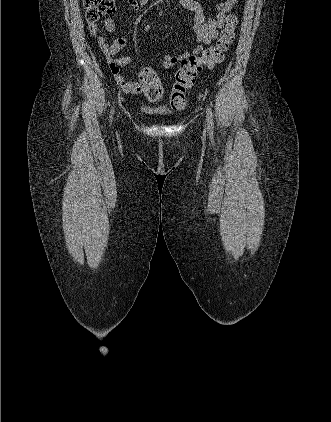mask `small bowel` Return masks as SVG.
I'll list each match as a JSON object with an SVG mask.
<instances>
[{
	"instance_id": "1",
	"label": "small bowel",
	"mask_w": 331,
	"mask_h": 422,
	"mask_svg": "<svg viewBox=\"0 0 331 422\" xmlns=\"http://www.w3.org/2000/svg\"><path fill=\"white\" fill-rule=\"evenodd\" d=\"M133 11H138L140 7L149 3V0H126ZM182 7L194 14L193 31L196 36L198 45L190 52H184L178 55L164 54L162 63L165 68H171L181 61L189 57H198L200 53H204V45L210 44L218 35V30L223 27L227 15L238 4V0H226L217 5V14L215 17L206 21L203 9L197 0H179ZM104 28L107 32L115 30L114 20L108 18L104 21ZM89 30L91 35L96 38L97 45L104 54L111 73L113 74L116 83L125 93L140 94L143 91L141 83L138 81L126 80L120 73V67L130 65L132 63L129 57L117 58L116 55L125 46L126 40L123 37H118L111 44L105 41L101 34V28L97 23H89ZM145 32L151 30V26L145 25L143 27Z\"/></svg>"
}]
</instances>
